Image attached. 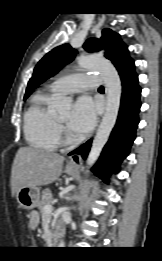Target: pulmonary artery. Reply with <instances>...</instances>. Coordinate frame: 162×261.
I'll return each instance as SVG.
<instances>
[{
  "label": "pulmonary artery",
  "mask_w": 162,
  "mask_h": 261,
  "mask_svg": "<svg viewBox=\"0 0 162 261\" xmlns=\"http://www.w3.org/2000/svg\"><path fill=\"white\" fill-rule=\"evenodd\" d=\"M100 81V75L71 74L53 81L49 90L56 94H72L85 89H97Z\"/></svg>",
  "instance_id": "pulmonary-artery-1"
}]
</instances>
